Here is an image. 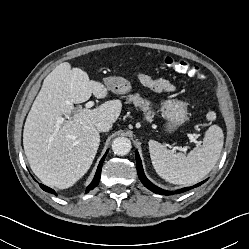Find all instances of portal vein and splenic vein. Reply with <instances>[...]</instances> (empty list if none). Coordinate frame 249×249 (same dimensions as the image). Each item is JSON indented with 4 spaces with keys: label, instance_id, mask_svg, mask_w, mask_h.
Instances as JSON below:
<instances>
[{
    "label": "portal vein and splenic vein",
    "instance_id": "obj_1",
    "mask_svg": "<svg viewBox=\"0 0 249 249\" xmlns=\"http://www.w3.org/2000/svg\"><path fill=\"white\" fill-rule=\"evenodd\" d=\"M93 105H94V102H93V101H89V102L86 103V108H91ZM68 118H69V117H68ZM63 121H64V119L61 118V119L59 120V123H62ZM190 139H191L192 141H195V138H194L193 136H190Z\"/></svg>",
    "mask_w": 249,
    "mask_h": 249
}]
</instances>
